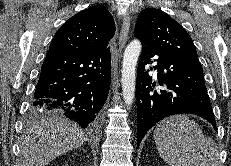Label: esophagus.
<instances>
[{"mask_svg":"<svg viewBox=\"0 0 231 166\" xmlns=\"http://www.w3.org/2000/svg\"><path fill=\"white\" fill-rule=\"evenodd\" d=\"M129 28H130V16L127 14L124 17L122 29L120 32L119 50H122L125 47V44H126L127 39H128Z\"/></svg>","mask_w":231,"mask_h":166,"instance_id":"esophagus-1","label":"esophagus"}]
</instances>
